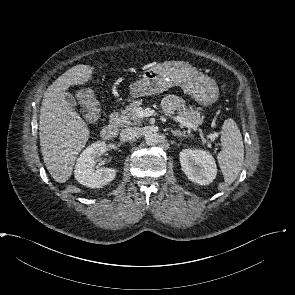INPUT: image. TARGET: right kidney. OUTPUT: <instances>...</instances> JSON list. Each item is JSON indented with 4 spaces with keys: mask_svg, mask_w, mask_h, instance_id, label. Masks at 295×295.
Wrapping results in <instances>:
<instances>
[{
    "mask_svg": "<svg viewBox=\"0 0 295 295\" xmlns=\"http://www.w3.org/2000/svg\"><path fill=\"white\" fill-rule=\"evenodd\" d=\"M106 151V143L97 141L80 154L74 170L75 178L80 184L90 188H100L114 180L117 173L115 168L94 169L96 156H101Z\"/></svg>",
    "mask_w": 295,
    "mask_h": 295,
    "instance_id": "1",
    "label": "right kidney"
}]
</instances>
